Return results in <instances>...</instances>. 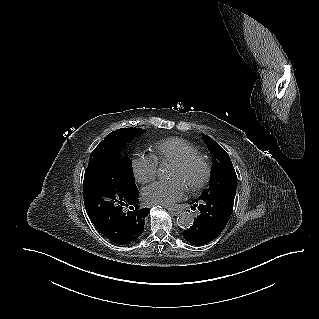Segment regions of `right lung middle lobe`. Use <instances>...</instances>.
I'll return each instance as SVG.
<instances>
[{
	"label": "right lung middle lobe",
	"instance_id": "right-lung-middle-lobe-1",
	"mask_svg": "<svg viewBox=\"0 0 319 319\" xmlns=\"http://www.w3.org/2000/svg\"><path fill=\"white\" fill-rule=\"evenodd\" d=\"M143 132L141 128H123L109 133L104 140L92 151L90 163L98 161H119V150L136 136ZM124 166V172L129 184L134 185V176L132 172L131 159L123 158L120 160Z\"/></svg>",
	"mask_w": 319,
	"mask_h": 319
}]
</instances>
